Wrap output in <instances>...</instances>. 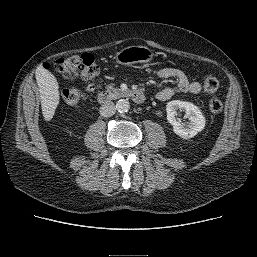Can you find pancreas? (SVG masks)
Here are the masks:
<instances>
[{
  "label": "pancreas",
  "instance_id": "cf45deb5",
  "mask_svg": "<svg viewBox=\"0 0 257 257\" xmlns=\"http://www.w3.org/2000/svg\"><path fill=\"white\" fill-rule=\"evenodd\" d=\"M106 88H107V90H106L107 93H109V95L112 96V97H117V96H120L122 94L121 89H119L117 87L114 88L113 85H107Z\"/></svg>",
  "mask_w": 257,
  "mask_h": 257
}]
</instances>
